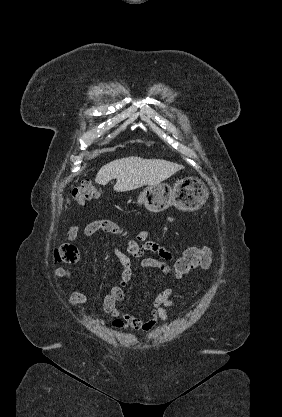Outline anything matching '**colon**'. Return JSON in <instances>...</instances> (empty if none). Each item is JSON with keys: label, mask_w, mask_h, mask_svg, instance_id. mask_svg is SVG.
<instances>
[{"label": "colon", "mask_w": 282, "mask_h": 417, "mask_svg": "<svg viewBox=\"0 0 282 417\" xmlns=\"http://www.w3.org/2000/svg\"><path fill=\"white\" fill-rule=\"evenodd\" d=\"M99 194V186L91 182H82L78 184L71 194L73 201L82 203L86 200H90ZM56 261L75 264L79 260V249L70 244L63 243L54 253ZM180 258L179 266H163L165 272L173 274L178 277L186 276L191 270L197 266L208 268L211 265V251L207 247L188 248Z\"/></svg>", "instance_id": "obj_1"}]
</instances>
